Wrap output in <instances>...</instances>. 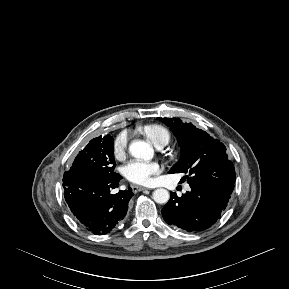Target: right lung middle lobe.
Here are the masks:
<instances>
[{"mask_svg": "<svg viewBox=\"0 0 289 289\" xmlns=\"http://www.w3.org/2000/svg\"><path fill=\"white\" fill-rule=\"evenodd\" d=\"M113 143L114 139L109 134L92 139L76 156L69 171L79 172L88 177H106L114 173L116 163Z\"/></svg>", "mask_w": 289, "mask_h": 289, "instance_id": "obj_1", "label": "right lung middle lobe"}]
</instances>
